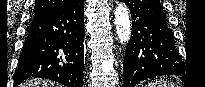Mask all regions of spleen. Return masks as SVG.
Wrapping results in <instances>:
<instances>
[{
  "label": "spleen",
  "instance_id": "1",
  "mask_svg": "<svg viewBox=\"0 0 205 87\" xmlns=\"http://www.w3.org/2000/svg\"><path fill=\"white\" fill-rule=\"evenodd\" d=\"M148 87H176L174 83L169 81H153L148 84Z\"/></svg>",
  "mask_w": 205,
  "mask_h": 87
}]
</instances>
